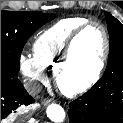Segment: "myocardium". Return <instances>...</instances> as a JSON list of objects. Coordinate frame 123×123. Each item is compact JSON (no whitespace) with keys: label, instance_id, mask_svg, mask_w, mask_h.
Instances as JSON below:
<instances>
[{"label":"myocardium","instance_id":"obj_1","mask_svg":"<svg viewBox=\"0 0 123 123\" xmlns=\"http://www.w3.org/2000/svg\"><path fill=\"white\" fill-rule=\"evenodd\" d=\"M91 26H97L101 30L103 35V51L98 61L96 70L94 71L93 75L89 79H87L82 83L75 84V85L67 84L64 81V77L72 58V53L75 43L77 39ZM109 51H110V40L105 26L98 21L89 20L88 22L80 26L76 31H74V33L68 39L64 48L62 58L54 70V80L56 86L59 88V90L62 93L68 96H75L88 91L100 79L108 60Z\"/></svg>","mask_w":123,"mask_h":123}]
</instances>
